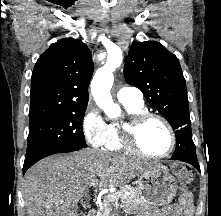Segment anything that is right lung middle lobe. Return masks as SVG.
I'll return each mask as SVG.
<instances>
[{
    "label": "right lung middle lobe",
    "instance_id": "obj_1",
    "mask_svg": "<svg viewBox=\"0 0 221 216\" xmlns=\"http://www.w3.org/2000/svg\"><path fill=\"white\" fill-rule=\"evenodd\" d=\"M86 107L61 111L30 120L24 164L68 150L85 148L82 122Z\"/></svg>",
    "mask_w": 221,
    "mask_h": 216
}]
</instances>
